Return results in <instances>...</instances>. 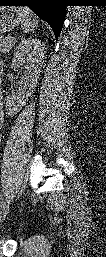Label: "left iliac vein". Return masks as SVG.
<instances>
[{"label":"left iliac vein","instance_id":"4c4485c4","mask_svg":"<svg viewBox=\"0 0 106 257\" xmlns=\"http://www.w3.org/2000/svg\"><path fill=\"white\" fill-rule=\"evenodd\" d=\"M9 204H10V201L8 199H6L5 201H3V203L1 204V211H0V222L2 220H4L6 214H7V211L9 209Z\"/></svg>","mask_w":106,"mask_h":257}]
</instances>
